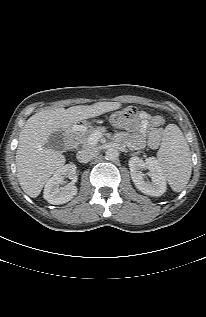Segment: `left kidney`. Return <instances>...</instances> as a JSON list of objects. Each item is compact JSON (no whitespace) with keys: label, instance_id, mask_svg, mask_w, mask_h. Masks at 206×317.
I'll list each match as a JSON object with an SVG mask.
<instances>
[{"label":"left kidney","instance_id":"1","mask_svg":"<svg viewBox=\"0 0 206 317\" xmlns=\"http://www.w3.org/2000/svg\"><path fill=\"white\" fill-rule=\"evenodd\" d=\"M131 179L137 189L150 196H161L166 191V180L158 161L149 157L145 161L139 157H131L129 160ZM142 169L149 170L151 182L145 181Z\"/></svg>","mask_w":206,"mask_h":317}]
</instances>
